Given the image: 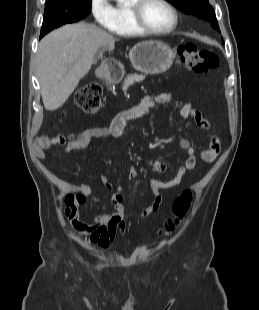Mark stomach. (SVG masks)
I'll return each instance as SVG.
<instances>
[{
	"label": "stomach",
	"instance_id": "1",
	"mask_svg": "<svg viewBox=\"0 0 259 310\" xmlns=\"http://www.w3.org/2000/svg\"><path fill=\"white\" fill-rule=\"evenodd\" d=\"M129 57L138 71L146 74H160L171 67L175 52L160 41H144L131 49Z\"/></svg>",
	"mask_w": 259,
	"mask_h": 310
}]
</instances>
